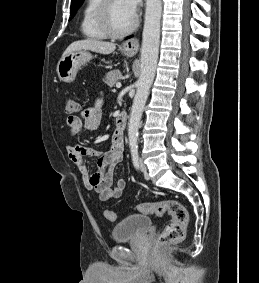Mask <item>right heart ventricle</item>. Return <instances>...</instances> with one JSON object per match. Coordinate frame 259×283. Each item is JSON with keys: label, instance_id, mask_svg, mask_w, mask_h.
I'll list each match as a JSON object with an SVG mask.
<instances>
[{"label": "right heart ventricle", "instance_id": "1", "mask_svg": "<svg viewBox=\"0 0 259 283\" xmlns=\"http://www.w3.org/2000/svg\"><path fill=\"white\" fill-rule=\"evenodd\" d=\"M101 2L102 0H87L85 3L81 20V31L86 38H106L98 23V9Z\"/></svg>", "mask_w": 259, "mask_h": 283}]
</instances>
